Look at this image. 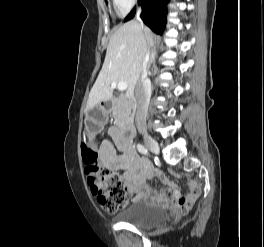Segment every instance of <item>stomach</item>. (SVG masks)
<instances>
[{
	"instance_id": "0dacf381",
	"label": "stomach",
	"mask_w": 264,
	"mask_h": 247,
	"mask_svg": "<svg viewBox=\"0 0 264 247\" xmlns=\"http://www.w3.org/2000/svg\"><path fill=\"white\" fill-rule=\"evenodd\" d=\"M108 118V110L102 106L101 104L96 105L85 117V125L86 129L89 133L93 132V128L95 126L101 127L103 126Z\"/></svg>"
}]
</instances>
